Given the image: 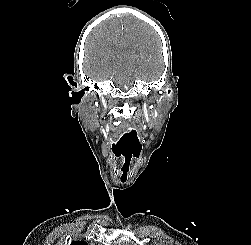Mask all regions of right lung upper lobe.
I'll list each match as a JSON object with an SVG mask.
<instances>
[{"label": "right lung upper lobe", "instance_id": "1", "mask_svg": "<svg viewBox=\"0 0 251 245\" xmlns=\"http://www.w3.org/2000/svg\"><path fill=\"white\" fill-rule=\"evenodd\" d=\"M71 245H87V243L83 242V241H73L71 243Z\"/></svg>", "mask_w": 251, "mask_h": 245}]
</instances>
